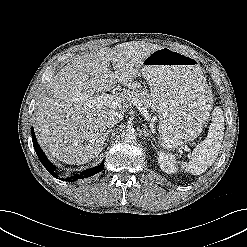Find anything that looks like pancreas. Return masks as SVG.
Instances as JSON below:
<instances>
[{
	"mask_svg": "<svg viewBox=\"0 0 247 247\" xmlns=\"http://www.w3.org/2000/svg\"><path fill=\"white\" fill-rule=\"evenodd\" d=\"M127 98H136L144 109L154 105L151 95L137 82L130 85V90L127 91Z\"/></svg>",
	"mask_w": 247,
	"mask_h": 247,
	"instance_id": "pancreas-1",
	"label": "pancreas"
}]
</instances>
